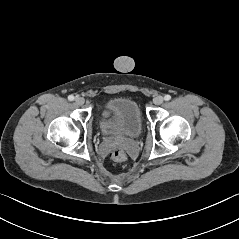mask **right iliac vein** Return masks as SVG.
<instances>
[{"instance_id":"63e3f726","label":"right iliac vein","mask_w":239,"mask_h":239,"mask_svg":"<svg viewBox=\"0 0 239 239\" xmlns=\"http://www.w3.org/2000/svg\"><path fill=\"white\" fill-rule=\"evenodd\" d=\"M75 103H76L77 105H83V104H84V99H83L82 97H80V96H77V97L75 98Z\"/></svg>"}]
</instances>
